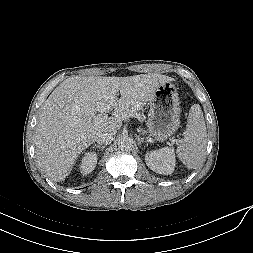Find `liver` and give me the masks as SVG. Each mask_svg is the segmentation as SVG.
Here are the masks:
<instances>
[{
	"label": "liver",
	"mask_w": 253,
	"mask_h": 253,
	"mask_svg": "<svg viewBox=\"0 0 253 253\" xmlns=\"http://www.w3.org/2000/svg\"><path fill=\"white\" fill-rule=\"evenodd\" d=\"M173 80L161 74L64 80L46 100L37 123L35 153L39 166L53 181H63L99 130H119L122 121L137 116L156 90ZM97 111H114V116L96 120Z\"/></svg>",
	"instance_id": "obj_1"
}]
</instances>
